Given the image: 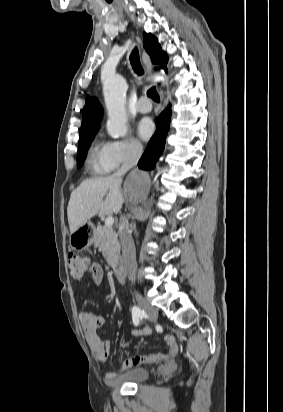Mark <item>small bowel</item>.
Instances as JSON below:
<instances>
[{
    "label": "small bowel",
    "mask_w": 283,
    "mask_h": 412,
    "mask_svg": "<svg viewBox=\"0 0 283 412\" xmlns=\"http://www.w3.org/2000/svg\"><path fill=\"white\" fill-rule=\"evenodd\" d=\"M89 273L93 284L96 286L100 285L103 279L102 267L96 263L95 268ZM78 318L95 360L100 365L106 366L107 356L110 350V342L102 340L99 336V330L106 323V318L102 315L94 314L85 310H80L78 312ZM150 333V327H145L143 330L138 332V334L144 335ZM164 338L167 344V349L165 351L156 354H144L128 358L121 363V369L125 371L133 366L175 358L178 353V346L174 338L171 335H165Z\"/></svg>",
    "instance_id": "obj_1"
}]
</instances>
